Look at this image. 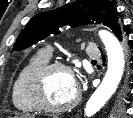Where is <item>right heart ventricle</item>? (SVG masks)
I'll return each mask as SVG.
<instances>
[{"mask_svg":"<svg viewBox=\"0 0 133 118\" xmlns=\"http://www.w3.org/2000/svg\"><path fill=\"white\" fill-rule=\"evenodd\" d=\"M50 55L42 50L33 55L18 72L12 86V103L22 113H32L37 110L28 96V80L33 72L48 63Z\"/></svg>","mask_w":133,"mask_h":118,"instance_id":"1","label":"right heart ventricle"}]
</instances>
